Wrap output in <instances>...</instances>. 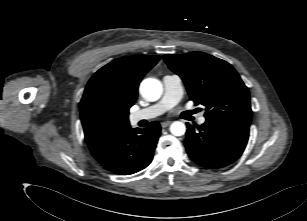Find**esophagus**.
I'll list each match as a JSON object with an SVG mask.
<instances>
[{
	"label": "esophagus",
	"mask_w": 307,
	"mask_h": 221,
	"mask_svg": "<svg viewBox=\"0 0 307 221\" xmlns=\"http://www.w3.org/2000/svg\"><path fill=\"white\" fill-rule=\"evenodd\" d=\"M170 123H171L170 121H164V122L161 123V127L166 128L167 126L170 125Z\"/></svg>",
	"instance_id": "1"
}]
</instances>
